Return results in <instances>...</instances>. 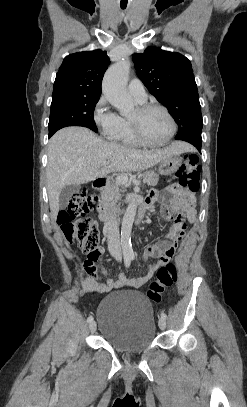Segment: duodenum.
Here are the masks:
<instances>
[{"label":"duodenum","mask_w":247,"mask_h":407,"mask_svg":"<svg viewBox=\"0 0 247 407\" xmlns=\"http://www.w3.org/2000/svg\"><path fill=\"white\" fill-rule=\"evenodd\" d=\"M93 188L100 192L108 186V181L105 178H96L93 181ZM148 204L143 202L137 212V223H141L147 216ZM97 213L102 222L109 224L115 217L114 209L104 203H100L97 207Z\"/></svg>","instance_id":"1"}]
</instances>
